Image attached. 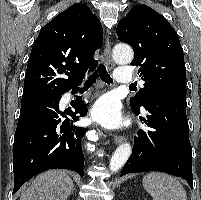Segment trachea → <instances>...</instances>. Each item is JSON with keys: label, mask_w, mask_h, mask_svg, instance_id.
I'll use <instances>...</instances> for the list:
<instances>
[{"label": "trachea", "mask_w": 201, "mask_h": 200, "mask_svg": "<svg viewBox=\"0 0 201 200\" xmlns=\"http://www.w3.org/2000/svg\"><path fill=\"white\" fill-rule=\"evenodd\" d=\"M100 77L102 81H104L107 84L112 83V78L110 77V75L108 74L106 67L104 65H100L98 67V69L96 71H94L89 78L87 79V81H85L84 85L85 86H90L92 85L97 77ZM129 87H133V85H130Z\"/></svg>", "instance_id": "obj_1"}]
</instances>
